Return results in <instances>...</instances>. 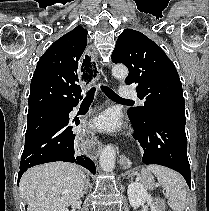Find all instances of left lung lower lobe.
<instances>
[{
  "instance_id": "obj_1",
  "label": "left lung lower lobe",
  "mask_w": 209,
  "mask_h": 211,
  "mask_svg": "<svg viewBox=\"0 0 209 211\" xmlns=\"http://www.w3.org/2000/svg\"><path fill=\"white\" fill-rule=\"evenodd\" d=\"M127 114L135 129L133 136L144 149L143 163L158 164L179 172L191 188L185 111H159L144 121Z\"/></svg>"
}]
</instances>
